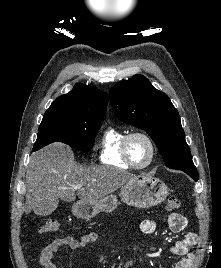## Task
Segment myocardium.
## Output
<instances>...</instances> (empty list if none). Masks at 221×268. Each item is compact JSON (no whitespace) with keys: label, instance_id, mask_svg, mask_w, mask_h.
I'll use <instances>...</instances> for the list:
<instances>
[{"label":"myocardium","instance_id":"myocardium-1","mask_svg":"<svg viewBox=\"0 0 221 268\" xmlns=\"http://www.w3.org/2000/svg\"><path fill=\"white\" fill-rule=\"evenodd\" d=\"M135 137L143 138L144 140H146V142L148 143V145L150 147L149 160L145 164H142V165L135 164L132 161L130 154H129L130 141ZM122 155H123L124 160L127 162V164L130 167H132L134 169H144V168L148 167L153 162L155 155H156V146H155L153 139L147 133L142 132V131L131 132V133H128L122 141Z\"/></svg>","mask_w":221,"mask_h":268}]
</instances>
